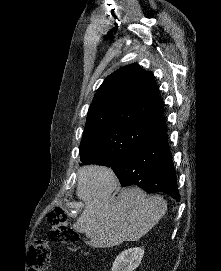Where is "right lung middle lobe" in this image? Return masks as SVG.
<instances>
[{
  "instance_id": "dd1d6c3e",
  "label": "right lung middle lobe",
  "mask_w": 221,
  "mask_h": 271,
  "mask_svg": "<svg viewBox=\"0 0 221 271\" xmlns=\"http://www.w3.org/2000/svg\"><path fill=\"white\" fill-rule=\"evenodd\" d=\"M147 130L112 126L83 135L80 145L82 164L112 166L135 148Z\"/></svg>"
}]
</instances>
